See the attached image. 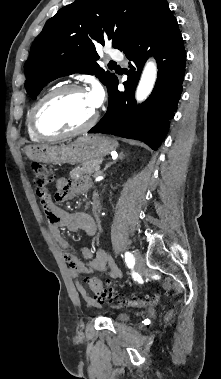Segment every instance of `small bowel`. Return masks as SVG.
<instances>
[{
	"label": "small bowel",
	"instance_id": "1",
	"mask_svg": "<svg viewBox=\"0 0 221 379\" xmlns=\"http://www.w3.org/2000/svg\"><path fill=\"white\" fill-rule=\"evenodd\" d=\"M89 186L90 183L87 179L72 181L66 178H59L56 181L57 192L55 198L59 202L71 200L76 195L86 193ZM41 204L47 217L49 232L63 251V257L69 264L78 293L87 304L96 305L95 300L87 295L79 276L81 274L105 271L111 278L118 279L122 277V273L113 259L103 249H97L92 252L85 247L82 249V258H79L61 233V229L65 228L69 232L82 231L85 236L92 237L97 232V225L94 219L86 212L71 214L64 211L53 203L50 196L41 201Z\"/></svg>",
	"mask_w": 221,
	"mask_h": 379
}]
</instances>
